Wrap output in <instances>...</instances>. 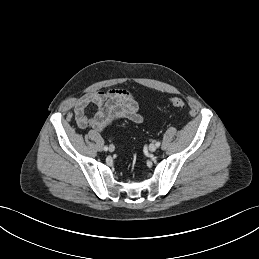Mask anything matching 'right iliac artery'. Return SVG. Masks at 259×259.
Masks as SVG:
<instances>
[{"mask_svg":"<svg viewBox=\"0 0 259 259\" xmlns=\"http://www.w3.org/2000/svg\"><path fill=\"white\" fill-rule=\"evenodd\" d=\"M103 149H104V151H107V150H108V147H107V146H105Z\"/></svg>","mask_w":259,"mask_h":259,"instance_id":"1","label":"right iliac artery"}]
</instances>
